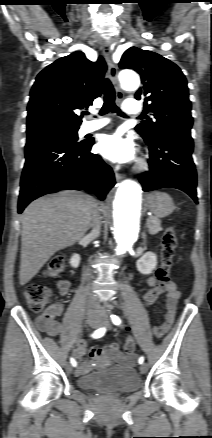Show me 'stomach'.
Here are the masks:
<instances>
[{
  "label": "stomach",
  "mask_w": 212,
  "mask_h": 438,
  "mask_svg": "<svg viewBox=\"0 0 212 438\" xmlns=\"http://www.w3.org/2000/svg\"><path fill=\"white\" fill-rule=\"evenodd\" d=\"M146 206L158 218L167 217L175 208L172 198L167 193L159 191L146 196Z\"/></svg>",
  "instance_id": "1"
}]
</instances>
